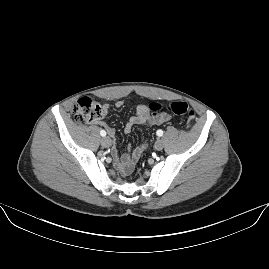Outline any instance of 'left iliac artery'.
Masks as SVG:
<instances>
[{"label":"left iliac artery","mask_w":269,"mask_h":269,"mask_svg":"<svg viewBox=\"0 0 269 269\" xmlns=\"http://www.w3.org/2000/svg\"><path fill=\"white\" fill-rule=\"evenodd\" d=\"M156 134L160 137L163 135V131L162 130H157Z\"/></svg>","instance_id":"left-iliac-artery-1"}]
</instances>
